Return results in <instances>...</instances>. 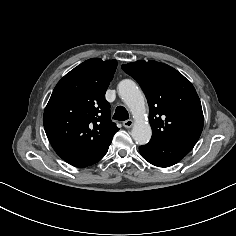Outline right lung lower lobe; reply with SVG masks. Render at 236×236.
I'll list each match as a JSON object with an SVG mask.
<instances>
[{
	"label": "right lung lower lobe",
	"mask_w": 236,
	"mask_h": 236,
	"mask_svg": "<svg viewBox=\"0 0 236 236\" xmlns=\"http://www.w3.org/2000/svg\"><path fill=\"white\" fill-rule=\"evenodd\" d=\"M110 143L104 149L98 152L79 153V152L60 150L56 151V153L67 163L75 167L83 168L100 161L107 153Z\"/></svg>",
	"instance_id": "98d812e1"
}]
</instances>
